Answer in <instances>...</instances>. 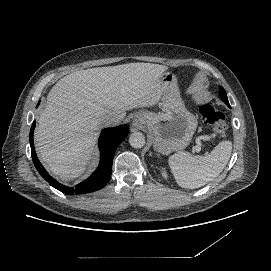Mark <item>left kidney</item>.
I'll list each match as a JSON object with an SVG mask.
<instances>
[{"label":"left kidney","instance_id":"5707ae66","mask_svg":"<svg viewBox=\"0 0 271 271\" xmlns=\"http://www.w3.org/2000/svg\"><path fill=\"white\" fill-rule=\"evenodd\" d=\"M161 174H162V177H163L164 179H167V178H168L167 172L165 171L164 168L161 169Z\"/></svg>","mask_w":271,"mask_h":271}]
</instances>
